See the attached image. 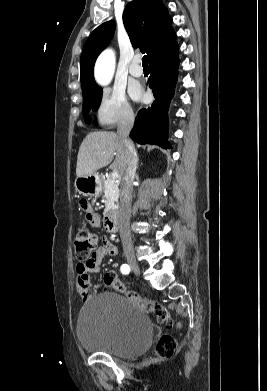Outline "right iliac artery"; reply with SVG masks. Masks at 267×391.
Listing matches in <instances>:
<instances>
[{
  "instance_id": "82829eb1",
  "label": "right iliac artery",
  "mask_w": 267,
  "mask_h": 391,
  "mask_svg": "<svg viewBox=\"0 0 267 391\" xmlns=\"http://www.w3.org/2000/svg\"><path fill=\"white\" fill-rule=\"evenodd\" d=\"M121 272H122L123 274H128V273L130 272V267H129L127 264H123V265L121 266Z\"/></svg>"
}]
</instances>
